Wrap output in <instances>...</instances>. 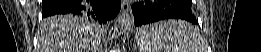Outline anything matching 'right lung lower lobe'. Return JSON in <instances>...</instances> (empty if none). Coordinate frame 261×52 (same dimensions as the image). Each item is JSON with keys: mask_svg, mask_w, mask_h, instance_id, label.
<instances>
[{"mask_svg": "<svg viewBox=\"0 0 261 52\" xmlns=\"http://www.w3.org/2000/svg\"><path fill=\"white\" fill-rule=\"evenodd\" d=\"M121 8V0H43V17L57 14L85 16L100 24L113 19Z\"/></svg>", "mask_w": 261, "mask_h": 52, "instance_id": "right-lung-lower-lobe-1", "label": "right lung lower lobe"}]
</instances>
